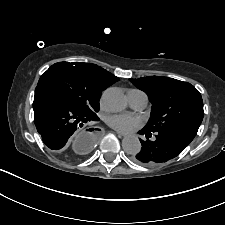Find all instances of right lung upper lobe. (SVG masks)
Instances as JSON below:
<instances>
[{
    "label": "right lung upper lobe",
    "instance_id": "obj_1",
    "mask_svg": "<svg viewBox=\"0 0 225 225\" xmlns=\"http://www.w3.org/2000/svg\"><path fill=\"white\" fill-rule=\"evenodd\" d=\"M78 64L88 72L94 82L101 86L103 90L119 80V78L95 64L79 62Z\"/></svg>",
    "mask_w": 225,
    "mask_h": 225
}]
</instances>
